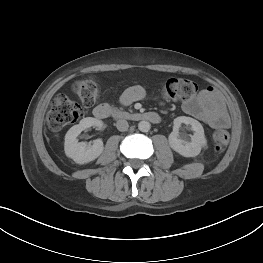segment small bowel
Segmentation results:
<instances>
[{
    "label": "small bowel",
    "mask_w": 263,
    "mask_h": 263,
    "mask_svg": "<svg viewBox=\"0 0 263 263\" xmlns=\"http://www.w3.org/2000/svg\"><path fill=\"white\" fill-rule=\"evenodd\" d=\"M144 97V88L136 85L123 92L120 102L122 105L128 106ZM182 108L185 113L212 128H228L230 126V118L223 100L213 87L201 90L195 97L184 102Z\"/></svg>",
    "instance_id": "small-bowel-1"
}]
</instances>
